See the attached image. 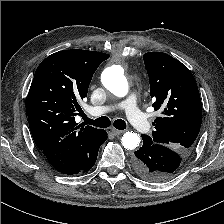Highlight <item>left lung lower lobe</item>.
<instances>
[{
	"label": "left lung lower lobe",
	"instance_id": "left-lung-lower-lobe-1",
	"mask_svg": "<svg viewBox=\"0 0 224 224\" xmlns=\"http://www.w3.org/2000/svg\"><path fill=\"white\" fill-rule=\"evenodd\" d=\"M143 146L135 152L133 167L143 179L152 182L166 181L165 175L178 171L183 164L180 153L161 144L143 139Z\"/></svg>",
	"mask_w": 224,
	"mask_h": 224
}]
</instances>
